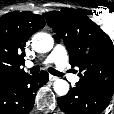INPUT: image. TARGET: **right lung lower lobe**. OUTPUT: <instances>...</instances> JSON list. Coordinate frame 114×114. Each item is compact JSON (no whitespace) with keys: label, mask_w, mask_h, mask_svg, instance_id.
Returning <instances> with one entry per match:
<instances>
[{"label":"right lung lower lobe","mask_w":114,"mask_h":114,"mask_svg":"<svg viewBox=\"0 0 114 114\" xmlns=\"http://www.w3.org/2000/svg\"><path fill=\"white\" fill-rule=\"evenodd\" d=\"M49 80V74L41 71L35 76L28 74L0 83V114H27L34 106L35 93Z\"/></svg>","instance_id":"right-lung-lower-lobe-1"}]
</instances>
